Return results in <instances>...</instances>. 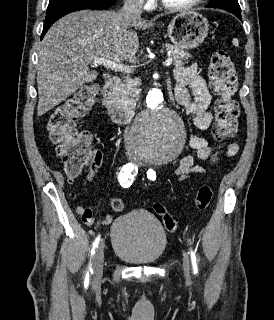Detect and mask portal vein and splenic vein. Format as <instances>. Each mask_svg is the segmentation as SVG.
I'll return each mask as SVG.
<instances>
[{
  "instance_id": "1",
  "label": "portal vein and splenic vein",
  "mask_w": 274,
  "mask_h": 320,
  "mask_svg": "<svg viewBox=\"0 0 274 320\" xmlns=\"http://www.w3.org/2000/svg\"><path fill=\"white\" fill-rule=\"evenodd\" d=\"M91 64L93 66H104V68H109V70H115V72H131L130 66H124V64H117V62H113V60H106V58H93L91 60ZM172 64V58H167L165 60V66H170Z\"/></svg>"
}]
</instances>
